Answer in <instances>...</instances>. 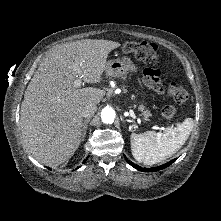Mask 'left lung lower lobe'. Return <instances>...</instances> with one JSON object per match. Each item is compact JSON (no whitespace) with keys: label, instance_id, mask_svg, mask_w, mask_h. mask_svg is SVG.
<instances>
[{"label":"left lung lower lobe","instance_id":"1","mask_svg":"<svg viewBox=\"0 0 221 221\" xmlns=\"http://www.w3.org/2000/svg\"><path fill=\"white\" fill-rule=\"evenodd\" d=\"M126 158V157H125ZM127 159V158H126ZM176 159H173L165 164H163L162 166H158V167H154V168H141L138 165H135L134 163L130 162L129 160H127V162L134 168H136L139 171H143V172H155V171H159L161 169H164L168 166H170Z\"/></svg>","mask_w":221,"mask_h":221}]
</instances>
